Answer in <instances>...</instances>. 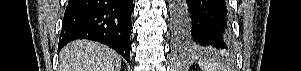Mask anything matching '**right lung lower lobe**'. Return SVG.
Instances as JSON below:
<instances>
[{"label":"right lung lower lobe","instance_id":"right-lung-lower-lobe-1","mask_svg":"<svg viewBox=\"0 0 301 71\" xmlns=\"http://www.w3.org/2000/svg\"><path fill=\"white\" fill-rule=\"evenodd\" d=\"M133 0H69L59 50L76 39L108 45L130 63Z\"/></svg>","mask_w":301,"mask_h":71}]
</instances>
